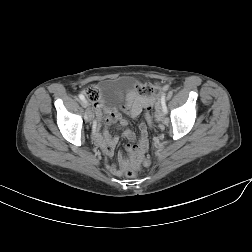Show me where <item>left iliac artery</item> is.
<instances>
[{"label": "left iliac artery", "instance_id": "44dca946", "mask_svg": "<svg viewBox=\"0 0 252 252\" xmlns=\"http://www.w3.org/2000/svg\"><path fill=\"white\" fill-rule=\"evenodd\" d=\"M165 94H163L162 96H161V105H162V108H163V111L165 112V113H167V107H166V100H165Z\"/></svg>", "mask_w": 252, "mask_h": 252}]
</instances>
